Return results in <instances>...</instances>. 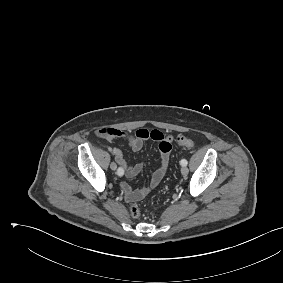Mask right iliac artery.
I'll use <instances>...</instances> for the list:
<instances>
[{"mask_svg":"<svg viewBox=\"0 0 283 283\" xmlns=\"http://www.w3.org/2000/svg\"><path fill=\"white\" fill-rule=\"evenodd\" d=\"M117 174L120 176L122 174V169L119 168Z\"/></svg>","mask_w":283,"mask_h":283,"instance_id":"right-iliac-artery-1","label":"right iliac artery"}]
</instances>
